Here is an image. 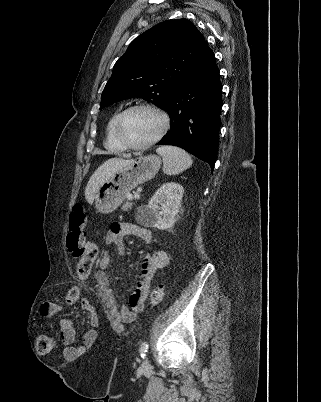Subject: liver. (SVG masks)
Segmentation results:
<instances>
[{"mask_svg": "<svg viewBox=\"0 0 321 402\" xmlns=\"http://www.w3.org/2000/svg\"><path fill=\"white\" fill-rule=\"evenodd\" d=\"M134 160L123 158H111L99 166L93 175L90 177L85 188V197L89 203L94 200V194L98 188L116 171L131 164Z\"/></svg>", "mask_w": 321, "mask_h": 402, "instance_id": "6515ba94", "label": "liver"}]
</instances>
